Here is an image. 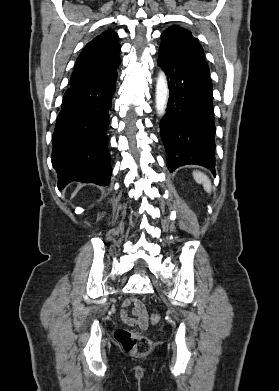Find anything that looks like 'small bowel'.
I'll use <instances>...</instances> for the list:
<instances>
[{"instance_id":"c3829d8e","label":"small bowel","mask_w":279,"mask_h":391,"mask_svg":"<svg viewBox=\"0 0 279 391\" xmlns=\"http://www.w3.org/2000/svg\"><path fill=\"white\" fill-rule=\"evenodd\" d=\"M133 305V317H130L126 308ZM123 309L120 311L122 321L132 327L138 326L142 329L148 326V314L144 305L136 298L126 299L122 303Z\"/></svg>"}]
</instances>
